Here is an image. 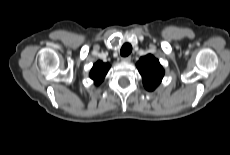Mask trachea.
<instances>
[{
  "mask_svg": "<svg viewBox=\"0 0 230 155\" xmlns=\"http://www.w3.org/2000/svg\"><path fill=\"white\" fill-rule=\"evenodd\" d=\"M132 52V46L129 43H125L120 50V54L123 57L128 56Z\"/></svg>",
  "mask_w": 230,
  "mask_h": 155,
  "instance_id": "1",
  "label": "trachea"
}]
</instances>
